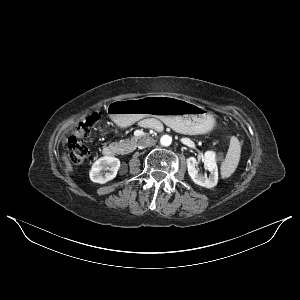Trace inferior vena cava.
Masks as SVG:
<instances>
[{
    "label": "inferior vena cava",
    "mask_w": 300,
    "mask_h": 300,
    "mask_svg": "<svg viewBox=\"0 0 300 300\" xmlns=\"http://www.w3.org/2000/svg\"><path fill=\"white\" fill-rule=\"evenodd\" d=\"M154 143V139L147 137V138H142L138 142V148L143 149L146 148Z\"/></svg>",
    "instance_id": "inferior-vena-cava-1"
}]
</instances>
